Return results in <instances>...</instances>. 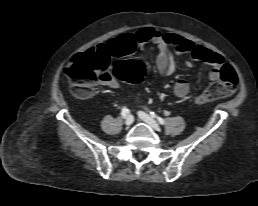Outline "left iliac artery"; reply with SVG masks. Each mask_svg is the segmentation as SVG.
Wrapping results in <instances>:
<instances>
[{
  "mask_svg": "<svg viewBox=\"0 0 258 206\" xmlns=\"http://www.w3.org/2000/svg\"><path fill=\"white\" fill-rule=\"evenodd\" d=\"M150 115L152 116V117H154V118H157V120H158V122L160 123V124H165V121H164V119L163 118H161V117H158L154 112H150Z\"/></svg>",
  "mask_w": 258,
  "mask_h": 206,
  "instance_id": "1",
  "label": "left iliac artery"
}]
</instances>
